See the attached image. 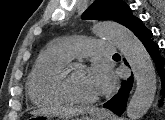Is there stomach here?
I'll use <instances>...</instances> for the list:
<instances>
[{
	"label": "stomach",
	"instance_id": "obj_1",
	"mask_svg": "<svg viewBox=\"0 0 165 120\" xmlns=\"http://www.w3.org/2000/svg\"><path fill=\"white\" fill-rule=\"evenodd\" d=\"M54 117H55V115H52V114L39 113V114H34L30 119L51 120ZM61 118H62V120H115V118L110 113H108L105 110H100V109H88L84 113H82L80 117H76L74 119H70L67 117H65V118L61 117Z\"/></svg>",
	"mask_w": 165,
	"mask_h": 120
}]
</instances>
